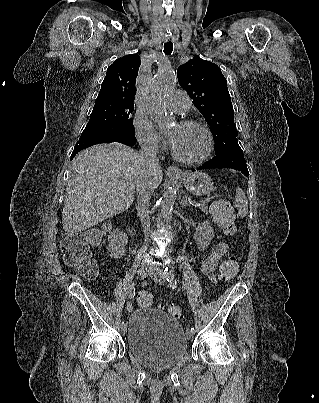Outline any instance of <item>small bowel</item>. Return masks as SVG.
Wrapping results in <instances>:
<instances>
[{"label": "small bowel", "instance_id": "1", "mask_svg": "<svg viewBox=\"0 0 319 403\" xmlns=\"http://www.w3.org/2000/svg\"><path fill=\"white\" fill-rule=\"evenodd\" d=\"M228 250L225 242H219L213 246L210 253L203 259L200 270L207 276V279L211 283H215L217 278L223 279L221 272L217 277L215 272L219 266L220 260L226 254Z\"/></svg>", "mask_w": 319, "mask_h": 403}]
</instances>
